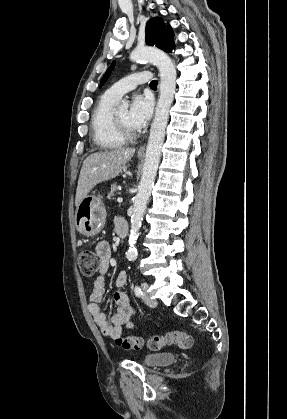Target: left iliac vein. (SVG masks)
<instances>
[{
    "label": "left iliac vein",
    "instance_id": "4c4485c4",
    "mask_svg": "<svg viewBox=\"0 0 287 419\" xmlns=\"http://www.w3.org/2000/svg\"><path fill=\"white\" fill-rule=\"evenodd\" d=\"M143 290L142 299L144 303L150 307L156 306L157 302L156 300L152 299L148 293V284L146 282L142 283L141 285Z\"/></svg>",
    "mask_w": 287,
    "mask_h": 419
}]
</instances>
